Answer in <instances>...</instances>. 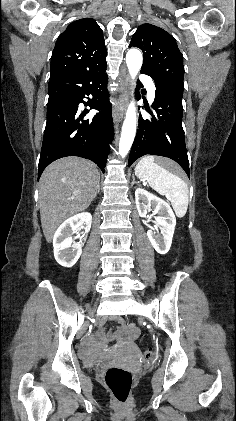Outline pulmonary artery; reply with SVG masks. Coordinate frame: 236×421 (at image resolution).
<instances>
[{"label": "pulmonary artery", "mask_w": 236, "mask_h": 421, "mask_svg": "<svg viewBox=\"0 0 236 421\" xmlns=\"http://www.w3.org/2000/svg\"><path fill=\"white\" fill-rule=\"evenodd\" d=\"M142 84L143 85H150L151 84V79L150 78H143L142 79ZM155 98V89L153 86H150L148 88V99L149 102L152 103L154 101Z\"/></svg>", "instance_id": "1"}]
</instances>
